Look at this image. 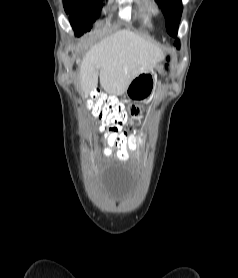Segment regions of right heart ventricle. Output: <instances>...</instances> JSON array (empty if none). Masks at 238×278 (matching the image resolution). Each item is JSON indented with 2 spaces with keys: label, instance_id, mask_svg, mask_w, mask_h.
<instances>
[{
  "label": "right heart ventricle",
  "instance_id": "obj_1",
  "mask_svg": "<svg viewBox=\"0 0 238 278\" xmlns=\"http://www.w3.org/2000/svg\"><path fill=\"white\" fill-rule=\"evenodd\" d=\"M140 1H141V4L143 5V7H144L146 10H149L148 0H140Z\"/></svg>",
  "mask_w": 238,
  "mask_h": 278
}]
</instances>
